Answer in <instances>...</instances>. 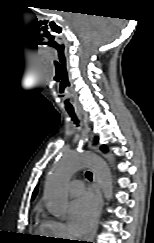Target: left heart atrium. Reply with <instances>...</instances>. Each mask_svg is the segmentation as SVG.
<instances>
[{
    "instance_id": "39dd6f15",
    "label": "left heart atrium",
    "mask_w": 154,
    "mask_h": 243,
    "mask_svg": "<svg viewBox=\"0 0 154 243\" xmlns=\"http://www.w3.org/2000/svg\"><path fill=\"white\" fill-rule=\"evenodd\" d=\"M95 201L90 195L74 200L69 207V226L76 235L88 233L95 219Z\"/></svg>"
}]
</instances>
